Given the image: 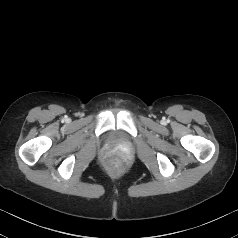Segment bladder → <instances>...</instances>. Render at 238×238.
Returning a JSON list of instances; mask_svg holds the SVG:
<instances>
[{"instance_id": "1", "label": "bladder", "mask_w": 238, "mask_h": 238, "mask_svg": "<svg viewBox=\"0 0 238 238\" xmlns=\"http://www.w3.org/2000/svg\"><path fill=\"white\" fill-rule=\"evenodd\" d=\"M110 140H112V141H117V138L115 137L114 134H112V135L110 136Z\"/></svg>"}]
</instances>
